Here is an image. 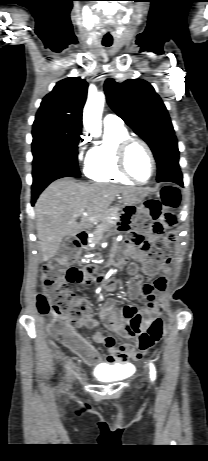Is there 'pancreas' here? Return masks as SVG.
<instances>
[{"instance_id":"cf45deb5","label":"pancreas","mask_w":208,"mask_h":461,"mask_svg":"<svg viewBox=\"0 0 208 461\" xmlns=\"http://www.w3.org/2000/svg\"><path fill=\"white\" fill-rule=\"evenodd\" d=\"M119 210V207H111L105 212L104 217L101 220V224L94 233V241L103 239L105 232L112 231V228L116 226V223L119 221Z\"/></svg>"}]
</instances>
